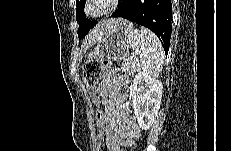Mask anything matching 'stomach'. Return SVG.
I'll return each mask as SVG.
<instances>
[{"mask_svg":"<svg viewBox=\"0 0 231 151\" xmlns=\"http://www.w3.org/2000/svg\"><path fill=\"white\" fill-rule=\"evenodd\" d=\"M132 31L133 27L129 22L114 25L104 32L94 50L88 54V59L101 62L126 58L129 54V35Z\"/></svg>","mask_w":231,"mask_h":151,"instance_id":"0dacf381","label":"stomach"}]
</instances>
